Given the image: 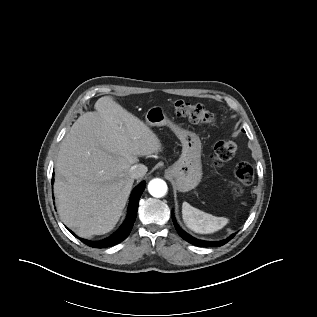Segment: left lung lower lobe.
I'll return each mask as SVG.
<instances>
[{
	"label": "left lung lower lobe",
	"instance_id": "obj_1",
	"mask_svg": "<svg viewBox=\"0 0 317 317\" xmlns=\"http://www.w3.org/2000/svg\"><path fill=\"white\" fill-rule=\"evenodd\" d=\"M172 220H173V223H174V226L178 232V234L180 235V237H182L184 240H186L187 242L195 245V246H201V247H215V246H222L224 244H226L228 241H230L234 236H235V233L230 235L227 239H224L222 241H204V240H199V239H196L194 238L193 236L187 234L184 230H182L174 216H172Z\"/></svg>",
	"mask_w": 317,
	"mask_h": 317
}]
</instances>
